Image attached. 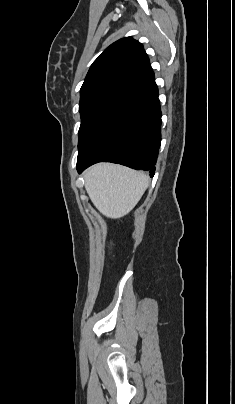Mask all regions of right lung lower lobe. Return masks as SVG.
Returning a JSON list of instances; mask_svg holds the SVG:
<instances>
[{"mask_svg":"<svg viewBox=\"0 0 235 404\" xmlns=\"http://www.w3.org/2000/svg\"><path fill=\"white\" fill-rule=\"evenodd\" d=\"M161 110L154 73L135 80L105 113L78 151L77 170L113 162L150 172L161 142Z\"/></svg>","mask_w":235,"mask_h":404,"instance_id":"right-lung-lower-lobe-1","label":"right lung lower lobe"}]
</instances>
